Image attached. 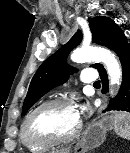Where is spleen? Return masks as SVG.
Returning a JSON list of instances; mask_svg holds the SVG:
<instances>
[{
    "label": "spleen",
    "instance_id": "3e777b00",
    "mask_svg": "<svg viewBox=\"0 0 130 153\" xmlns=\"http://www.w3.org/2000/svg\"><path fill=\"white\" fill-rule=\"evenodd\" d=\"M114 130L120 137L130 140V113H116Z\"/></svg>",
    "mask_w": 130,
    "mask_h": 153
}]
</instances>
